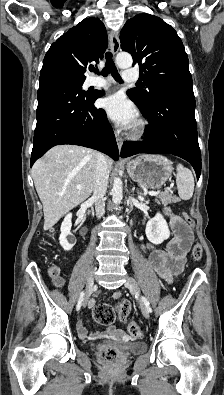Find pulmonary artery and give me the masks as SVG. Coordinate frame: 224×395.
<instances>
[{
	"label": "pulmonary artery",
	"instance_id": "obj_1",
	"mask_svg": "<svg viewBox=\"0 0 224 395\" xmlns=\"http://www.w3.org/2000/svg\"><path fill=\"white\" fill-rule=\"evenodd\" d=\"M138 78L137 71L134 69L125 70L123 79L125 82H133ZM90 85L94 87H104L107 85V81L101 78H95L90 82Z\"/></svg>",
	"mask_w": 224,
	"mask_h": 395
}]
</instances>
